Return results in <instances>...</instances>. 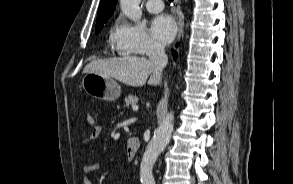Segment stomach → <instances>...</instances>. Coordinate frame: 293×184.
Segmentation results:
<instances>
[{
  "mask_svg": "<svg viewBox=\"0 0 293 184\" xmlns=\"http://www.w3.org/2000/svg\"><path fill=\"white\" fill-rule=\"evenodd\" d=\"M82 86L88 95L96 99L114 101L121 94V87L116 80L97 73H85Z\"/></svg>",
  "mask_w": 293,
  "mask_h": 184,
  "instance_id": "1",
  "label": "stomach"
}]
</instances>
